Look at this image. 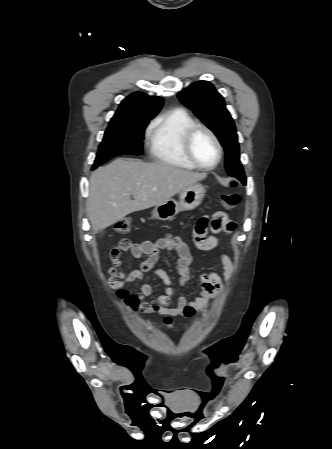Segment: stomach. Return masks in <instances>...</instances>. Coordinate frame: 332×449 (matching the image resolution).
<instances>
[{
  "label": "stomach",
  "mask_w": 332,
  "mask_h": 449,
  "mask_svg": "<svg viewBox=\"0 0 332 449\" xmlns=\"http://www.w3.org/2000/svg\"><path fill=\"white\" fill-rule=\"evenodd\" d=\"M206 190L199 183L188 186L179 195V200L170 199L156 205L152 211V218L158 220H172L181 211H190L198 207L204 199Z\"/></svg>",
  "instance_id": "stomach-1"
}]
</instances>
